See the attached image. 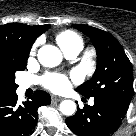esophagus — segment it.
I'll list each match as a JSON object with an SVG mask.
<instances>
[{"instance_id": "obj_1", "label": "esophagus", "mask_w": 136, "mask_h": 136, "mask_svg": "<svg viewBox=\"0 0 136 136\" xmlns=\"http://www.w3.org/2000/svg\"><path fill=\"white\" fill-rule=\"evenodd\" d=\"M51 100H52L53 102H59V101H62L63 98L52 95V96H51Z\"/></svg>"}]
</instances>
